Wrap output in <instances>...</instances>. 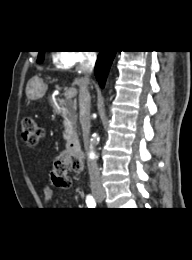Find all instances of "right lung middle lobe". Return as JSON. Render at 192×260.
Instances as JSON below:
<instances>
[{
    "mask_svg": "<svg viewBox=\"0 0 192 260\" xmlns=\"http://www.w3.org/2000/svg\"><path fill=\"white\" fill-rule=\"evenodd\" d=\"M43 59H44V51H40L39 55H38L37 62L41 63L43 61Z\"/></svg>",
    "mask_w": 192,
    "mask_h": 260,
    "instance_id": "right-lung-middle-lobe-1",
    "label": "right lung middle lobe"
}]
</instances>
